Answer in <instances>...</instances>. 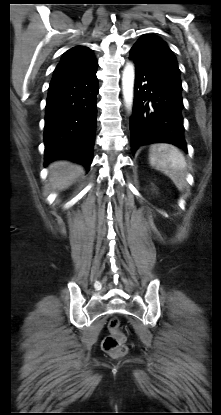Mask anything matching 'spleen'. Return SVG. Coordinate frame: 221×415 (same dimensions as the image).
I'll return each instance as SVG.
<instances>
[{
  "label": "spleen",
  "mask_w": 221,
  "mask_h": 415,
  "mask_svg": "<svg viewBox=\"0 0 221 415\" xmlns=\"http://www.w3.org/2000/svg\"><path fill=\"white\" fill-rule=\"evenodd\" d=\"M149 162L156 170L169 176L179 190L185 186L186 161L175 146L161 143L150 148Z\"/></svg>",
  "instance_id": "obj_1"
}]
</instances>
